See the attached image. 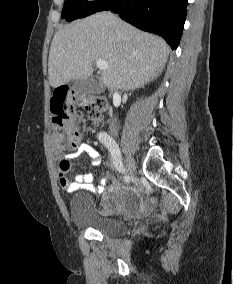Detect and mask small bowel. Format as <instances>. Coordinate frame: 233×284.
I'll return each mask as SVG.
<instances>
[{
  "label": "small bowel",
  "instance_id": "obj_1",
  "mask_svg": "<svg viewBox=\"0 0 233 284\" xmlns=\"http://www.w3.org/2000/svg\"><path fill=\"white\" fill-rule=\"evenodd\" d=\"M86 153L90 159L92 165L97 166L101 162V156L99 152L88 144H80L76 150L67 156L64 160H72L73 158L77 157L78 155ZM65 171L61 170L59 175V183L62 189L67 192H73L75 190L84 189L94 193L102 194V193H112L115 190V186L109 185L107 186V179L102 177L100 179V184L95 186L93 184L94 174L87 173L84 175H80L75 182H70L69 179L64 174ZM116 202L111 199L108 195H105L101 202V212L102 213H109L113 211L116 207Z\"/></svg>",
  "mask_w": 233,
  "mask_h": 284
}]
</instances>
